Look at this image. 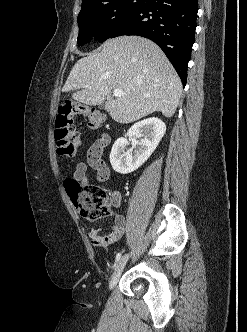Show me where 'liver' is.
Masks as SVG:
<instances>
[{
	"mask_svg": "<svg viewBox=\"0 0 247 332\" xmlns=\"http://www.w3.org/2000/svg\"><path fill=\"white\" fill-rule=\"evenodd\" d=\"M63 89H81L72 97L86 105L96 106L106 100L105 109L112 119L127 124L157 111L165 117L173 116L182 83L155 43L122 36L107 40L99 52L79 59ZM114 89L126 95L114 98Z\"/></svg>",
	"mask_w": 247,
	"mask_h": 332,
	"instance_id": "obj_1",
	"label": "liver"
}]
</instances>
